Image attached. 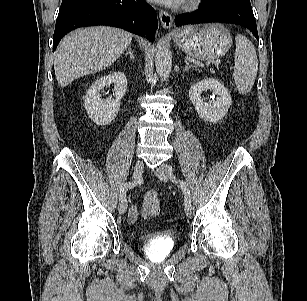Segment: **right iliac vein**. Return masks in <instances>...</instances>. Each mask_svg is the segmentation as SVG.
<instances>
[{
	"label": "right iliac vein",
	"mask_w": 307,
	"mask_h": 301,
	"mask_svg": "<svg viewBox=\"0 0 307 301\" xmlns=\"http://www.w3.org/2000/svg\"><path fill=\"white\" fill-rule=\"evenodd\" d=\"M143 173V162L138 160L135 165H134V169H133V175H132V179L134 182H137L138 180H140L141 176ZM127 200L125 199L123 202L120 203L119 205V213L120 214H124L127 210Z\"/></svg>",
	"instance_id": "1"
}]
</instances>
